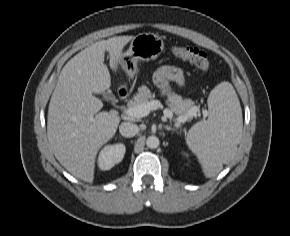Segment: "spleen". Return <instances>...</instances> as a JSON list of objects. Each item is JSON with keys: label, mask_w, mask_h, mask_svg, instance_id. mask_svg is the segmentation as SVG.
Wrapping results in <instances>:
<instances>
[{"label": "spleen", "mask_w": 290, "mask_h": 236, "mask_svg": "<svg viewBox=\"0 0 290 236\" xmlns=\"http://www.w3.org/2000/svg\"><path fill=\"white\" fill-rule=\"evenodd\" d=\"M209 117L188 131L186 143L197 156L206 177L216 176L230 162L242 137V109L229 82H221L209 94Z\"/></svg>", "instance_id": "1"}]
</instances>
